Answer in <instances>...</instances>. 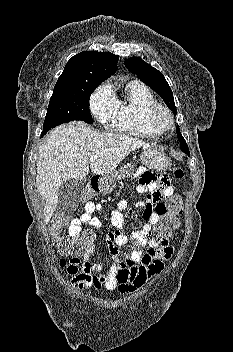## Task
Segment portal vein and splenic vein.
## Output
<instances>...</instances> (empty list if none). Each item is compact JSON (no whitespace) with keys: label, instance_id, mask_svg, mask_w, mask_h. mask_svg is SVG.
Wrapping results in <instances>:
<instances>
[{"label":"portal vein and splenic vein","instance_id":"1","mask_svg":"<svg viewBox=\"0 0 233 352\" xmlns=\"http://www.w3.org/2000/svg\"><path fill=\"white\" fill-rule=\"evenodd\" d=\"M97 160V156H91L90 158H89V161L90 162H95Z\"/></svg>","mask_w":233,"mask_h":352}]
</instances>
